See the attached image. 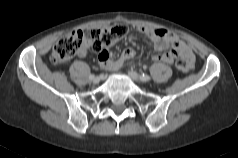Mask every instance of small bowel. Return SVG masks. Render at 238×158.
<instances>
[{
	"label": "small bowel",
	"instance_id": "obj_1",
	"mask_svg": "<svg viewBox=\"0 0 238 158\" xmlns=\"http://www.w3.org/2000/svg\"><path fill=\"white\" fill-rule=\"evenodd\" d=\"M137 30L150 37L156 51H165L171 47L172 50L170 52L153 55L155 61L172 64L175 58L178 57L188 60L191 64L194 63L195 56L192 49L174 33L162 28H149L144 26L137 27ZM134 56L135 50L131 47H126L118 59H113L107 49L99 54L98 59L102 68L108 71H116Z\"/></svg>",
	"mask_w": 238,
	"mask_h": 158
}]
</instances>
